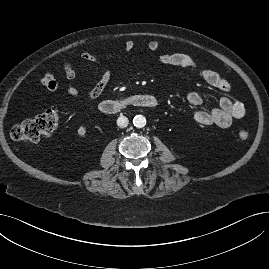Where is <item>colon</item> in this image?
Listing matches in <instances>:
<instances>
[{"label": "colon", "mask_w": 269, "mask_h": 269, "mask_svg": "<svg viewBox=\"0 0 269 269\" xmlns=\"http://www.w3.org/2000/svg\"><path fill=\"white\" fill-rule=\"evenodd\" d=\"M59 120L60 113L57 109H47L14 126L11 135L16 141L35 143L42 137L52 134L57 129ZM249 136L250 133L245 128H241L237 133V138L241 142H246Z\"/></svg>", "instance_id": "5ec220e1"}]
</instances>
